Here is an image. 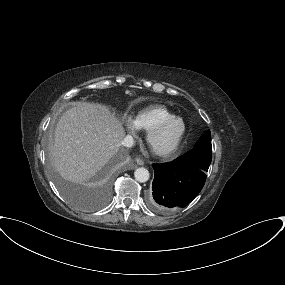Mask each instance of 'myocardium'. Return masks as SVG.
Listing matches in <instances>:
<instances>
[{
	"mask_svg": "<svg viewBox=\"0 0 285 285\" xmlns=\"http://www.w3.org/2000/svg\"><path fill=\"white\" fill-rule=\"evenodd\" d=\"M175 121H179L182 124V129L179 132V134L176 136V138L172 141V143H170L169 145H167L165 147H161V148L155 147L153 144L154 138L159 133H161L168 125H170L171 123H173ZM185 132H186V124L181 117H179V116L169 117V118L161 121L160 123H158L155 127H153L151 130H149L147 132L146 143H147V146L149 147V149L155 155H157L159 157H169L170 155H172L177 150V148L181 144V141L185 135Z\"/></svg>",
	"mask_w": 285,
	"mask_h": 285,
	"instance_id": "1",
	"label": "myocardium"
}]
</instances>
